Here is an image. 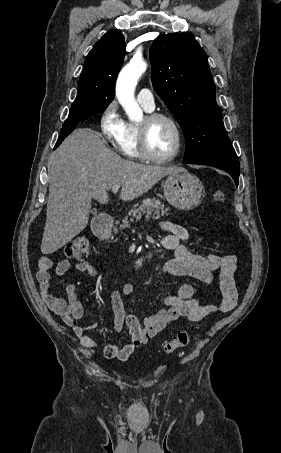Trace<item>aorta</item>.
I'll return each mask as SVG.
<instances>
[{
	"mask_svg": "<svg viewBox=\"0 0 281 453\" xmlns=\"http://www.w3.org/2000/svg\"><path fill=\"white\" fill-rule=\"evenodd\" d=\"M147 63L140 58L132 59L119 73L116 81V96L132 121H140L143 112L135 99V88L141 75L146 71Z\"/></svg>",
	"mask_w": 281,
	"mask_h": 453,
	"instance_id": "aorta-1",
	"label": "aorta"
}]
</instances>
